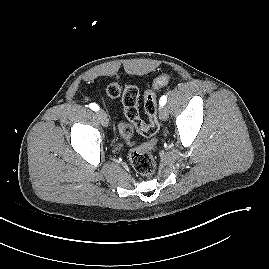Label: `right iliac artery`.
<instances>
[{
  "label": "right iliac artery",
  "mask_w": 269,
  "mask_h": 269,
  "mask_svg": "<svg viewBox=\"0 0 269 269\" xmlns=\"http://www.w3.org/2000/svg\"><path fill=\"white\" fill-rule=\"evenodd\" d=\"M90 109H92L93 111H98L99 110V106L96 103H91L89 105Z\"/></svg>",
  "instance_id": "82829eb1"
}]
</instances>
